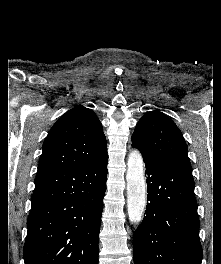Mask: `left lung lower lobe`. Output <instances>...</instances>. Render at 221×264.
<instances>
[{"mask_svg": "<svg viewBox=\"0 0 221 264\" xmlns=\"http://www.w3.org/2000/svg\"><path fill=\"white\" fill-rule=\"evenodd\" d=\"M144 162L148 199L143 222L134 233V264H201L192 173Z\"/></svg>", "mask_w": 221, "mask_h": 264, "instance_id": "obj_1", "label": "left lung lower lobe"}]
</instances>
